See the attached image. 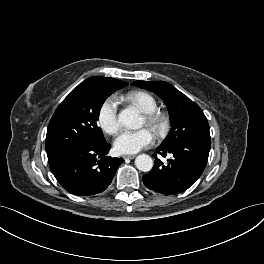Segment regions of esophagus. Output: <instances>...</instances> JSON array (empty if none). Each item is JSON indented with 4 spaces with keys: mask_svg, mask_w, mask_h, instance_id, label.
<instances>
[{
    "mask_svg": "<svg viewBox=\"0 0 264 264\" xmlns=\"http://www.w3.org/2000/svg\"><path fill=\"white\" fill-rule=\"evenodd\" d=\"M136 157V155H124L123 158L124 159H134Z\"/></svg>",
    "mask_w": 264,
    "mask_h": 264,
    "instance_id": "esophagus-1",
    "label": "esophagus"
}]
</instances>
